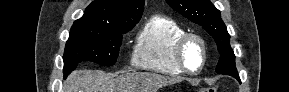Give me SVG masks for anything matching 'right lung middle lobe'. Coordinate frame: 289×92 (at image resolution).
I'll use <instances>...</instances> for the list:
<instances>
[{"instance_id": "1", "label": "right lung middle lobe", "mask_w": 289, "mask_h": 92, "mask_svg": "<svg viewBox=\"0 0 289 92\" xmlns=\"http://www.w3.org/2000/svg\"><path fill=\"white\" fill-rule=\"evenodd\" d=\"M135 25L120 27H97L73 25L66 43L64 60V76L73 71L83 60L99 63L105 66L115 64L122 34Z\"/></svg>"}]
</instances>
